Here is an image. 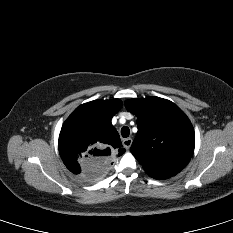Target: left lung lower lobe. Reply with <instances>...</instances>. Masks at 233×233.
I'll return each mask as SVG.
<instances>
[{
  "label": "left lung lower lobe",
  "instance_id": "obj_1",
  "mask_svg": "<svg viewBox=\"0 0 233 233\" xmlns=\"http://www.w3.org/2000/svg\"><path fill=\"white\" fill-rule=\"evenodd\" d=\"M166 178H169V177H166ZM166 178H161V179H166Z\"/></svg>",
  "mask_w": 233,
  "mask_h": 233
}]
</instances>
